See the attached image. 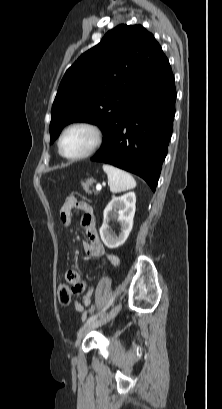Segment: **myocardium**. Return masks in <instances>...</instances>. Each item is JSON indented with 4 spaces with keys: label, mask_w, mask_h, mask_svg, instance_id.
Segmentation results:
<instances>
[{
    "label": "myocardium",
    "mask_w": 222,
    "mask_h": 409,
    "mask_svg": "<svg viewBox=\"0 0 222 409\" xmlns=\"http://www.w3.org/2000/svg\"><path fill=\"white\" fill-rule=\"evenodd\" d=\"M75 128H86L89 129L93 135H94V141L93 144L91 145V147L85 151L82 154L76 155V156H68L66 154L63 153L62 150V141L64 136L72 129ZM104 142V132L102 130V128L93 122H89V121H80V122H75L73 124H70L68 127H66L63 132L61 133L59 139H58V151L60 153V155L67 159V160H81V159H85L87 157H90L91 155H93L95 152H97L99 150V148L102 146Z\"/></svg>",
    "instance_id": "obj_1"
}]
</instances>
